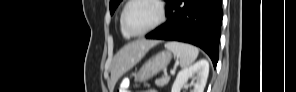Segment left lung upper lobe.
<instances>
[{
  "label": "left lung upper lobe",
  "mask_w": 296,
  "mask_h": 92,
  "mask_svg": "<svg viewBox=\"0 0 296 92\" xmlns=\"http://www.w3.org/2000/svg\"><path fill=\"white\" fill-rule=\"evenodd\" d=\"M122 0H110V12L111 15L114 13L115 9L117 8V6L119 5V3ZM166 2H168L169 0H165Z\"/></svg>",
  "instance_id": "1"
}]
</instances>
